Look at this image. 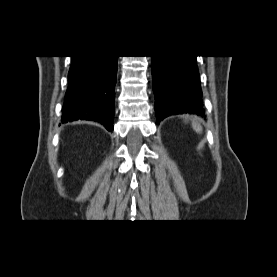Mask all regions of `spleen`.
Wrapping results in <instances>:
<instances>
[{
    "label": "spleen",
    "mask_w": 277,
    "mask_h": 277,
    "mask_svg": "<svg viewBox=\"0 0 277 277\" xmlns=\"http://www.w3.org/2000/svg\"><path fill=\"white\" fill-rule=\"evenodd\" d=\"M192 127L196 132L198 133L202 132V126L197 120L192 121Z\"/></svg>",
    "instance_id": "obj_1"
}]
</instances>
